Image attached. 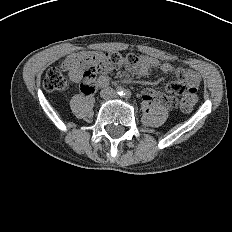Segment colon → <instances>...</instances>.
I'll return each mask as SVG.
<instances>
[{
  "mask_svg": "<svg viewBox=\"0 0 232 232\" xmlns=\"http://www.w3.org/2000/svg\"><path fill=\"white\" fill-rule=\"evenodd\" d=\"M141 61L136 55L122 56L118 53L92 54L83 60V73L80 89L84 94H91L95 89L96 75L105 70L116 71L122 66L132 68ZM65 68V63L63 65ZM67 85L66 78L61 70L52 67L44 78V87L48 91L64 89ZM197 89L189 87L185 83L177 84L168 89L167 93L157 95V100L166 106L172 107L179 102L180 108L185 112L193 110L197 101Z\"/></svg>",
  "mask_w": 232,
  "mask_h": 232,
  "instance_id": "5ec220e1",
  "label": "colon"
}]
</instances>
